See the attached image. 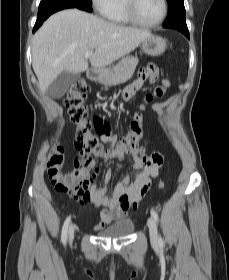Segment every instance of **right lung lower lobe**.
<instances>
[{
  "instance_id": "98d812e1",
  "label": "right lung lower lobe",
  "mask_w": 229,
  "mask_h": 280,
  "mask_svg": "<svg viewBox=\"0 0 229 280\" xmlns=\"http://www.w3.org/2000/svg\"><path fill=\"white\" fill-rule=\"evenodd\" d=\"M67 8H78L87 12H92L91 5L81 1L58 0L54 2L40 3L33 32H35L51 14Z\"/></svg>"
}]
</instances>
